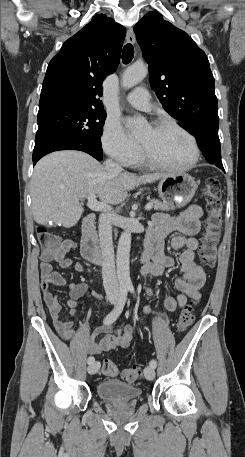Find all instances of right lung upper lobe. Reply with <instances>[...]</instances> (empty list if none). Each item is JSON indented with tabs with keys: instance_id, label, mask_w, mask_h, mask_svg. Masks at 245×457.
<instances>
[{
	"instance_id": "right-lung-upper-lobe-1",
	"label": "right lung upper lobe",
	"mask_w": 245,
	"mask_h": 457,
	"mask_svg": "<svg viewBox=\"0 0 245 457\" xmlns=\"http://www.w3.org/2000/svg\"><path fill=\"white\" fill-rule=\"evenodd\" d=\"M125 34V27L99 14L69 38L48 65L39 112L65 104L103 108L102 82L119 65Z\"/></svg>"
}]
</instances>
